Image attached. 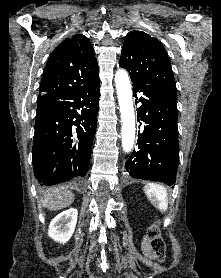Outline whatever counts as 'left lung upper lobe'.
<instances>
[{
	"label": "left lung upper lobe",
	"mask_w": 221,
	"mask_h": 278,
	"mask_svg": "<svg viewBox=\"0 0 221 278\" xmlns=\"http://www.w3.org/2000/svg\"><path fill=\"white\" fill-rule=\"evenodd\" d=\"M119 65L129 72L131 80H138L177 97L166 50L149 34L134 30L126 35Z\"/></svg>",
	"instance_id": "5c2ea615"
}]
</instances>
